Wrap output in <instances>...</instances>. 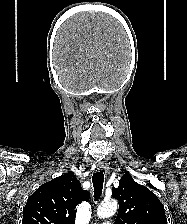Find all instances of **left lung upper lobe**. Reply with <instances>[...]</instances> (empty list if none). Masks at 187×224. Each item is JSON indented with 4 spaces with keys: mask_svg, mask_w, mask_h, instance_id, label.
<instances>
[{
    "mask_svg": "<svg viewBox=\"0 0 187 224\" xmlns=\"http://www.w3.org/2000/svg\"><path fill=\"white\" fill-rule=\"evenodd\" d=\"M112 189L119 201L115 224H167L164 207L158 197L147 187L136 183L129 173Z\"/></svg>",
    "mask_w": 187,
    "mask_h": 224,
    "instance_id": "left-lung-upper-lobe-1",
    "label": "left lung upper lobe"
}]
</instances>
